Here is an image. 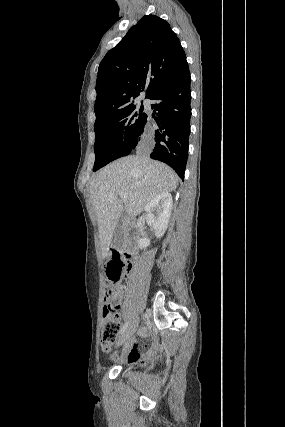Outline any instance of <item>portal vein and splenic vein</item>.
<instances>
[{
	"mask_svg": "<svg viewBox=\"0 0 285 427\" xmlns=\"http://www.w3.org/2000/svg\"><path fill=\"white\" fill-rule=\"evenodd\" d=\"M121 200H123L124 202L127 200L126 196L124 194H119Z\"/></svg>",
	"mask_w": 285,
	"mask_h": 427,
	"instance_id": "portal-vein-and-splenic-vein-1",
	"label": "portal vein and splenic vein"
}]
</instances>
